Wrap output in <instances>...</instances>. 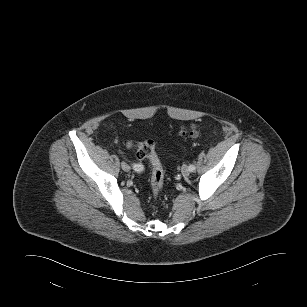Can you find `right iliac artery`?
<instances>
[{"instance_id":"obj_1","label":"right iliac artery","mask_w":307,"mask_h":307,"mask_svg":"<svg viewBox=\"0 0 307 307\" xmlns=\"http://www.w3.org/2000/svg\"><path fill=\"white\" fill-rule=\"evenodd\" d=\"M132 167L137 172H141L143 170V165H141V164H135L134 163V164H132Z\"/></svg>"}]
</instances>
